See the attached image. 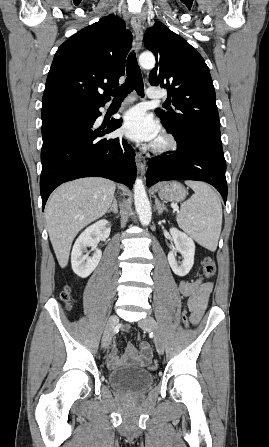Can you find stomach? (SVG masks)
Segmentation results:
<instances>
[{"label":"stomach","mask_w":269,"mask_h":447,"mask_svg":"<svg viewBox=\"0 0 269 447\" xmlns=\"http://www.w3.org/2000/svg\"><path fill=\"white\" fill-rule=\"evenodd\" d=\"M155 190H158L159 198L167 202H183L186 198V190L179 182H163L157 184Z\"/></svg>","instance_id":"1"}]
</instances>
